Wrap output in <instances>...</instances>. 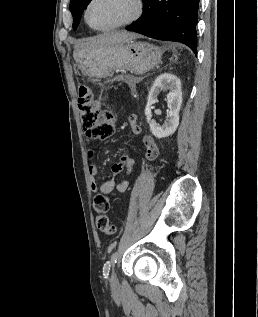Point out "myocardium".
<instances>
[{"label":"myocardium","mask_w":258,"mask_h":317,"mask_svg":"<svg viewBox=\"0 0 258 317\" xmlns=\"http://www.w3.org/2000/svg\"><path fill=\"white\" fill-rule=\"evenodd\" d=\"M94 1L95 0H90L89 3L87 4V6L85 8V12H84V19H85L86 23L89 25V27H91L92 29H94L96 31H100V32L111 31L114 29H118V28L130 25L131 23H133L135 20H137L140 17L142 10H143V7H142V4L140 3V1H138V0H125V1H128L134 5V12L129 18H127L126 20H124L120 23H117V24H114V25H111L108 27H97L90 22L89 17H88L89 8Z\"/></svg>","instance_id":"obj_1"}]
</instances>
